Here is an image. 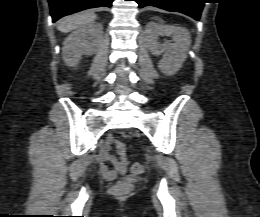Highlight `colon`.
I'll use <instances>...</instances> for the list:
<instances>
[{
    "label": "colon",
    "mask_w": 260,
    "mask_h": 217,
    "mask_svg": "<svg viewBox=\"0 0 260 217\" xmlns=\"http://www.w3.org/2000/svg\"><path fill=\"white\" fill-rule=\"evenodd\" d=\"M144 168H145V165L143 163L136 162L132 165L131 170L134 174H139L144 170ZM127 189H128V184L125 182H118L117 184H115L112 187V191L114 193H118V194H122V193L126 192Z\"/></svg>",
    "instance_id": "5ec220e1"
}]
</instances>
